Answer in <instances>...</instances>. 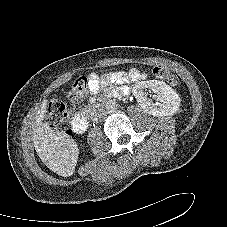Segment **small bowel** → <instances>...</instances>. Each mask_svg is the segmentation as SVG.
Segmentation results:
<instances>
[{
    "mask_svg": "<svg viewBox=\"0 0 227 227\" xmlns=\"http://www.w3.org/2000/svg\"><path fill=\"white\" fill-rule=\"evenodd\" d=\"M145 74L140 73L139 71L132 70L129 72L125 71H114L110 73L103 74L101 76H98L96 74H93L90 76V92L96 93L99 91L102 85L108 84V83H128L131 81L144 79Z\"/></svg>",
    "mask_w": 227,
    "mask_h": 227,
    "instance_id": "1",
    "label": "small bowel"
}]
</instances>
